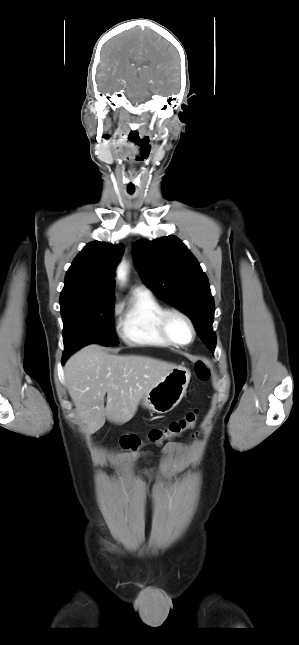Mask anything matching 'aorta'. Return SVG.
Instances as JSON below:
<instances>
[{
    "mask_svg": "<svg viewBox=\"0 0 299 645\" xmlns=\"http://www.w3.org/2000/svg\"><path fill=\"white\" fill-rule=\"evenodd\" d=\"M119 274H120V277L124 276V272L122 270H120Z\"/></svg>",
    "mask_w": 299,
    "mask_h": 645,
    "instance_id": "aorta-1",
    "label": "aorta"
}]
</instances>
